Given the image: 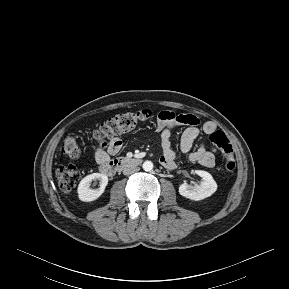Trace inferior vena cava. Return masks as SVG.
Here are the masks:
<instances>
[{
    "instance_id": "602c4592",
    "label": "inferior vena cava",
    "mask_w": 289,
    "mask_h": 289,
    "mask_svg": "<svg viewBox=\"0 0 289 289\" xmlns=\"http://www.w3.org/2000/svg\"><path fill=\"white\" fill-rule=\"evenodd\" d=\"M139 171V168L136 167V166H130V167H126L124 168L123 170V174L124 175H130V174H133L135 172Z\"/></svg>"
}]
</instances>
